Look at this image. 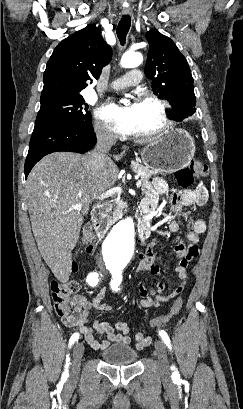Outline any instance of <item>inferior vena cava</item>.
<instances>
[{
	"mask_svg": "<svg viewBox=\"0 0 243 409\" xmlns=\"http://www.w3.org/2000/svg\"><path fill=\"white\" fill-rule=\"evenodd\" d=\"M97 142L94 149L86 155L89 166L95 174L103 170L107 153L116 143V136L112 133L96 129Z\"/></svg>",
	"mask_w": 243,
	"mask_h": 409,
	"instance_id": "obj_1",
	"label": "inferior vena cava"
}]
</instances>
